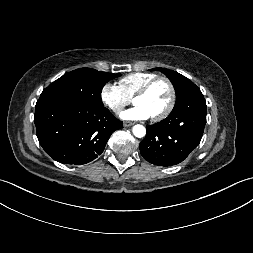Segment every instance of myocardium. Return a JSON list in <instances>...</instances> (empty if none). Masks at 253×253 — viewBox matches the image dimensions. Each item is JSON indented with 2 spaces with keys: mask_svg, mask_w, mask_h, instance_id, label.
Instances as JSON below:
<instances>
[{
  "mask_svg": "<svg viewBox=\"0 0 253 253\" xmlns=\"http://www.w3.org/2000/svg\"><path fill=\"white\" fill-rule=\"evenodd\" d=\"M158 81H165L170 90V100L167 107L158 115L154 117H150L151 121L159 122L170 115L172 110L174 109L176 103V90L173 82L167 76H156L155 78L148 81L145 85H143L133 96V102L136 98L144 96L148 93V91L152 88V86Z\"/></svg>",
  "mask_w": 253,
  "mask_h": 253,
  "instance_id": "obj_1",
  "label": "myocardium"
}]
</instances>
